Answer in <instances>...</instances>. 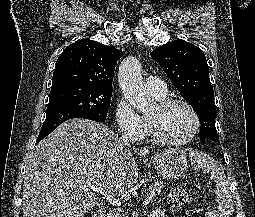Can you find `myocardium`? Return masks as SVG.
<instances>
[{
  "label": "myocardium",
  "mask_w": 255,
  "mask_h": 217,
  "mask_svg": "<svg viewBox=\"0 0 255 217\" xmlns=\"http://www.w3.org/2000/svg\"><path fill=\"white\" fill-rule=\"evenodd\" d=\"M174 104H182L185 107H187L194 118V128L188 137L184 139H180V140H172V139L164 137L159 132L156 123L149 117H148V125H149L151 136L157 142L164 145H169V146H181V145L190 143L197 136L201 128V119L196 108L193 106V104L184 98H180V97L164 98L159 101L157 106L160 111H164Z\"/></svg>",
  "instance_id": "f54148a6"
}]
</instances>
